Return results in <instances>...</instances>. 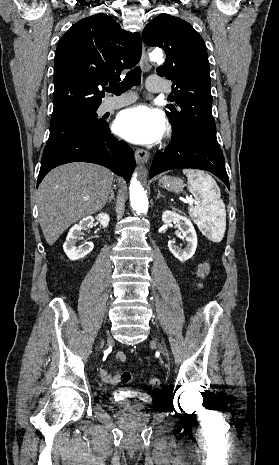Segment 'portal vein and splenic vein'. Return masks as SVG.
Listing matches in <instances>:
<instances>
[{
  "mask_svg": "<svg viewBox=\"0 0 279 465\" xmlns=\"http://www.w3.org/2000/svg\"><path fill=\"white\" fill-rule=\"evenodd\" d=\"M85 200H88V198H86ZM187 202H189L190 204H192L193 200L191 197H187Z\"/></svg>",
  "mask_w": 279,
  "mask_h": 465,
  "instance_id": "1",
  "label": "portal vein and splenic vein"
}]
</instances>
